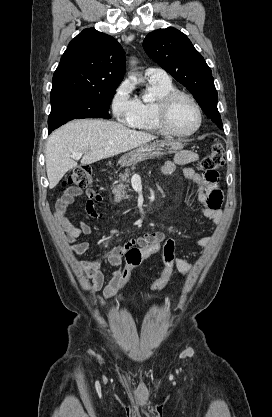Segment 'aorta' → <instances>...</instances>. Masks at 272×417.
<instances>
[{"instance_id":"762f6f07","label":"aorta","mask_w":272,"mask_h":417,"mask_svg":"<svg viewBox=\"0 0 272 417\" xmlns=\"http://www.w3.org/2000/svg\"><path fill=\"white\" fill-rule=\"evenodd\" d=\"M131 79L136 83V80L134 78L131 77Z\"/></svg>"}]
</instances>
